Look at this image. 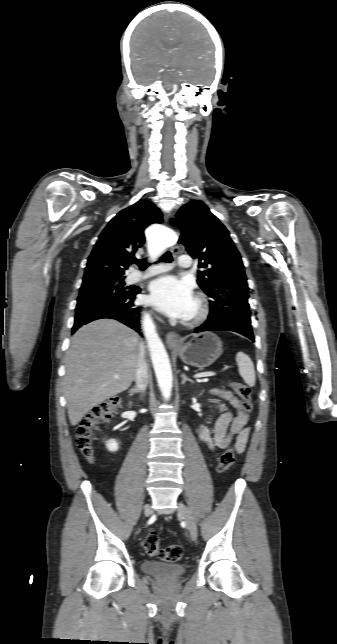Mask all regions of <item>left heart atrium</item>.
Returning <instances> with one entry per match:
<instances>
[{
    "label": "left heart atrium",
    "mask_w": 337,
    "mask_h": 644,
    "mask_svg": "<svg viewBox=\"0 0 337 644\" xmlns=\"http://www.w3.org/2000/svg\"><path fill=\"white\" fill-rule=\"evenodd\" d=\"M150 301L162 313L172 318L185 319L190 315L194 295L189 283L165 275L152 282Z\"/></svg>",
    "instance_id": "1"
}]
</instances>
